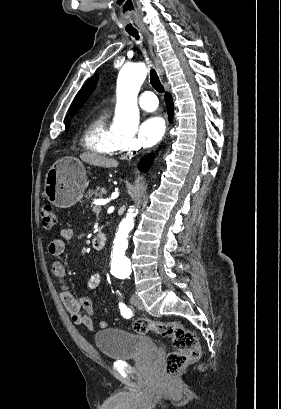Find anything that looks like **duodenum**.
I'll return each mask as SVG.
<instances>
[{"label":"duodenum","mask_w":281,"mask_h":409,"mask_svg":"<svg viewBox=\"0 0 281 409\" xmlns=\"http://www.w3.org/2000/svg\"><path fill=\"white\" fill-rule=\"evenodd\" d=\"M105 245V237L103 234H97L93 239V247L94 249L100 251L103 249Z\"/></svg>","instance_id":"duodenum-1"}]
</instances>
